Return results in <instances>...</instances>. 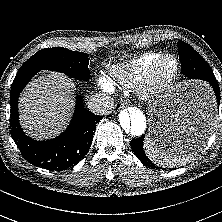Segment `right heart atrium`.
<instances>
[{
    "instance_id": "obj_1",
    "label": "right heart atrium",
    "mask_w": 222,
    "mask_h": 222,
    "mask_svg": "<svg viewBox=\"0 0 222 222\" xmlns=\"http://www.w3.org/2000/svg\"><path fill=\"white\" fill-rule=\"evenodd\" d=\"M99 85L104 91H109L111 89V85L109 84V82L103 78L99 80Z\"/></svg>"
}]
</instances>
